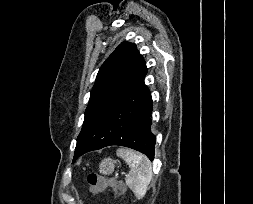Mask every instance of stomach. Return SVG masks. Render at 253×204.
<instances>
[{"label":"stomach","instance_id":"stomach-1","mask_svg":"<svg viewBox=\"0 0 253 204\" xmlns=\"http://www.w3.org/2000/svg\"><path fill=\"white\" fill-rule=\"evenodd\" d=\"M115 163L111 158L104 159L99 165V172L103 175H110L115 169Z\"/></svg>","mask_w":253,"mask_h":204}]
</instances>
